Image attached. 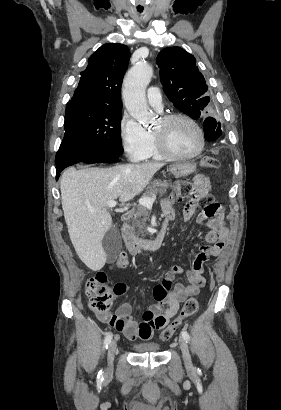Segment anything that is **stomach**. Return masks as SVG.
Listing matches in <instances>:
<instances>
[{
	"label": "stomach",
	"mask_w": 281,
	"mask_h": 410,
	"mask_svg": "<svg viewBox=\"0 0 281 410\" xmlns=\"http://www.w3.org/2000/svg\"><path fill=\"white\" fill-rule=\"evenodd\" d=\"M196 169V165L191 162H184L179 164H174L170 166L171 173L177 177H186L192 174Z\"/></svg>",
	"instance_id": "1"
}]
</instances>
